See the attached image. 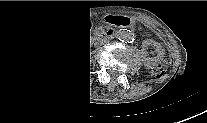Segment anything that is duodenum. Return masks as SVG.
<instances>
[{
    "label": "duodenum",
    "mask_w": 207,
    "mask_h": 123,
    "mask_svg": "<svg viewBox=\"0 0 207 123\" xmlns=\"http://www.w3.org/2000/svg\"><path fill=\"white\" fill-rule=\"evenodd\" d=\"M123 28V27H121ZM118 30L117 29H109L106 32H104L103 34H100L99 36L94 37L93 39L89 40L88 42L92 43L95 40H99L101 38H109V37H113L117 34Z\"/></svg>",
    "instance_id": "obj_1"
}]
</instances>
